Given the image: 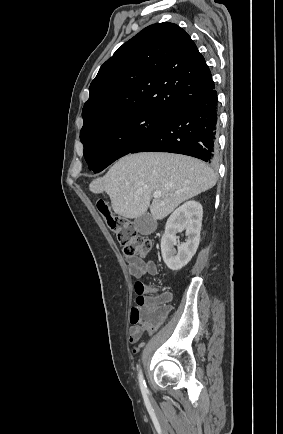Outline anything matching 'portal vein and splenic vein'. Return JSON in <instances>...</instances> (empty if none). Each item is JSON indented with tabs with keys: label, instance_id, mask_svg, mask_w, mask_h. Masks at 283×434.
<instances>
[{
	"label": "portal vein and splenic vein",
	"instance_id": "18ae733b",
	"mask_svg": "<svg viewBox=\"0 0 283 434\" xmlns=\"http://www.w3.org/2000/svg\"><path fill=\"white\" fill-rule=\"evenodd\" d=\"M153 196H154V198H159V197H161V192L160 191H155L153 193Z\"/></svg>",
	"mask_w": 283,
	"mask_h": 434
}]
</instances>
